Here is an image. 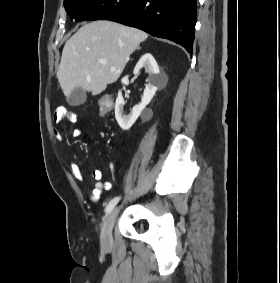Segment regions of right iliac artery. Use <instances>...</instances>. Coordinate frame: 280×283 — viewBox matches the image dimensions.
I'll return each instance as SVG.
<instances>
[{
	"mask_svg": "<svg viewBox=\"0 0 280 283\" xmlns=\"http://www.w3.org/2000/svg\"><path fill=\"white\" fill-rule=\"evenodd\" d=\"M119 200H120V197H115L109 202V204L107 205L106 210H105L106 215L109 214L112 211V209L116 206V204L119 202Z\"/></svg>",
	"mask_w": 280,
	"mask_h": 283,
	"instance_id": "right-iliac-artery-1",
	"label": "right iliac artery"
}]
</instances>
